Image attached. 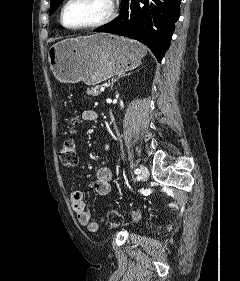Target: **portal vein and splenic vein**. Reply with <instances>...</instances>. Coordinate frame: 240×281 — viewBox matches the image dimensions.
Segmentation results:
<instances>
[{
    "instance_id": "portal-vein-and-splenic-vein-1",
    "label": "portal vein and splenic vein",
    "mask_w": 240,
    "mask_h": 281,
    "mask_svg": "<svg viewBox=\"0 0 240 281\" xmlns=\"http://www.w3.org/2000/svg\"><path fill=\"white\" fill-rule=\"evenodd\" d=\"M104 90H105V87H101V88H100V91L103 92Z\"/></svg>"
}]
</instances>
